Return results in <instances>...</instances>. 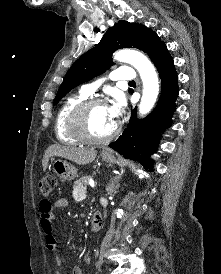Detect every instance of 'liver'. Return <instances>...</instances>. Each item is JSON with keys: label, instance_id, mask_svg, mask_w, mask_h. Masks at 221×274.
Returning <instances> with one entry per match:
<instances>
[{"label": "liver", "instance_id": "1", "mask_svg": "<svg viewBox=\"0 0 221 274\" xmlns=\"http://www.w3.org/2000/svg\"><path fill=\"white\" fill-rule=\"evenodd\" d=\"M53 156L68 159L78 165H86L95 160L97 151L94 148L87 149L52 145L45 151L42 160L43 171H45L48 166L49 158Z\"/></svg>", "mask_w": 221, "mask_h": 274}]
</instances>
